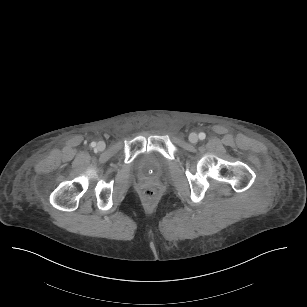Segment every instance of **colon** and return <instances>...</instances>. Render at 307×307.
<instances>
[{
    "instance_id": "5ec220e1",
    "label": "colon",
    "mask_w": 307,
    "mask_h": 307,
    "mask_svg": "<svg viewBox=\"0 0 307 307\" xmlns=\"http://www.w3.org/2000/svg\"><path fill=\"white\" fill-rule=\"evenodd\" d=\"M141 196L145 200H153L157 196V189L153 185H145L141 189Z\"/></svg>"
}]
</instances>
